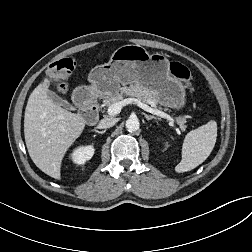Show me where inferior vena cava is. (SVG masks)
<instances>
[{"label": "inferior vena cava", "mask_w": 252, "mask_h": 252, "mask_svg": "<svg viewBox=\"0 0 252 252\" xmlns=\"http://www.w3.org/2000/svg\"><path fill=\"white\" fill-rule=\"evenodd\" d=\"M116 123V120L114 118H104L99 122L100 128H110L114 126Z\"/></svg>", "instance_id": "602c4592"}]
</instances>
